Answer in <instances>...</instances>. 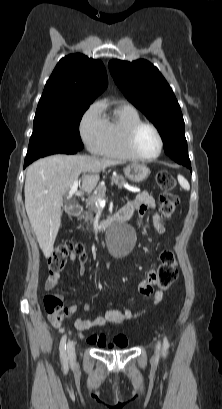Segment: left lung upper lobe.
I'll use <instances>...</instances> for the list:
<instances>
[{
    "mask_svg": "<svg viewBox=\"0 0 222 409\" xmlns=\"http://www.w3.org/2000/svg\"><path fill=\"white\" fill-rule=\"evenodd\" d=\"M109 70L125 97L157 127L166 154L176 162L189 160L181 108L159 70L146 60H111Z\"/></svg>",
    "mask_w": 222,
    "mask_h": 409,
    "instance_id": "left-lung-upper-lobe-1",
    "label": "left lung upper lobe"
}]
</instances>
